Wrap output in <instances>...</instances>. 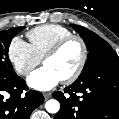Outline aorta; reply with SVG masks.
<instances>
[{
    "mask_svg": "<svg viewBox=\"0 0 119 119\" xmlns=\"http://www.w3.org/2000/svg\"><path fill=\"white\" fill-rule=\"evenodd\" d=\"M45 108L49 113H57L60 109V103L56 99H50L46 102Z\"/></svg>",
    "mask_w": 119,
    "mask_h": 119,
    "instance_id": "obj_1",
    "label": "aorta"
}]
</instances>
